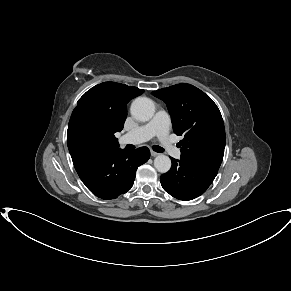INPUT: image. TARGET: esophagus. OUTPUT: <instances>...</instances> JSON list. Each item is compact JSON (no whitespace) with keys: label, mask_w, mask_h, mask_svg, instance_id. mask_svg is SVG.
Wrapping results in <instances>:
<instances>
[{"label":"esophagus","mask_w":291,"mask_h":291,"mask_svg":"<svg viewBox=\"0 0 291 291\" xmlns=\"http://www.w3.org/2000/svg\"><path fill=\"white\" fill-rule=\"evenodd\" d=\"M150 153H151V156H153V157H155V156H158V155H159V153H157V152H155V151H152V150H151V152H150Z\"/></svg>","instance_id":"34e87169"}]
</instances>
